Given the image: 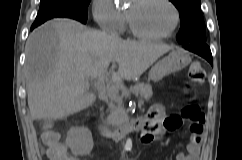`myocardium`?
I'll return each mask as SVG.
<instances>
[{"label": "myocardium", "instance_id": "1", "mask_svg": "<svg viewBox=\"0 0 242 160\" xmlns=\"http://www.w3.org/2000/svg\"><path fill=\"white\" fill-rule=\"evenodd\" d=\"M164 1L172 8L174 15H175L174 24L171 27V29L169 31H167L166 33L157 34V35H151V34L144 33L137 28L132 17L129 15V13L126 12V19H127L128 27H129L131 33L135 37L142 39V40L157 41V40H162V39H166V38L170 37L177 30V28L180 24V21H181L180 11L172 0H164Z\"/></svg>", "mask_w": 242, "mask_h": 160}]
</instances>
